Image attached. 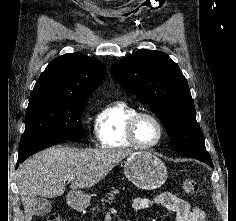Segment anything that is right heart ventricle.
I'll use <instances>...</instances> for the list:
<instances>
[{"mask_svg":"<svg viewBox=\"0 0 236 221\" xmlns=\"http://www.w3.org/2000/svg\"><path fill=\"white\" fill-rule=\"evenodd\" d=\"M138 110L126 100L105 105L96 116L95 134L99 144L108 149L133 148L126 137L127 123Z\"/></svg>","mask_w":236,"mask_h":221,"instance_id":"obj_1","label":"right heart ventricle"}]
</instances>
